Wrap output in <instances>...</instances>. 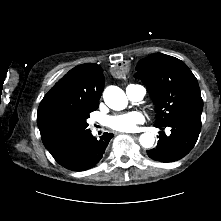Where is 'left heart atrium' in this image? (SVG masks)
<instances>
[{"instance_id": "39dd6f15", "label": "left heart atrium", "mask_w": 221, "mask_h": 221, "mask_svg": "<svg viewBox=\"0 0 221 221\" xmlns=\"http://www.w3.org/2000/svg\"><path fill=\"white\" fill-rule=\"evenodd\" d=\"M145 121L144 115L138 111L111 116L108 119V126L116 131L133 132Z\"/></svg>"}]
</instances>
